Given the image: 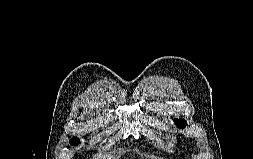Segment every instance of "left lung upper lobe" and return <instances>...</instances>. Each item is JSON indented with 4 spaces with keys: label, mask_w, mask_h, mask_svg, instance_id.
<instances>
[{
    "label": "left lung upper lobe",
    "mask_w": 253,
    "mask_h": 159,
    "mask_svg": "<svg viewBox=\"0 0 253 159\" xmlns=\"http://www.w3.org/2000/svg\"><path fill=\"white\" fill-rule=\"evenodd\" d=\"M174 122L176 123V125L180 128H184L186 127V121L184 119H175Z\"/></svg>",
    "instance_id": "1"
}]
</instances>
